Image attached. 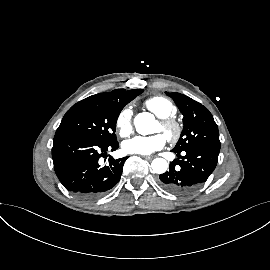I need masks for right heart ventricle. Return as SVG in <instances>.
I'll list each match as a JSON object with an SVG mask.
<instances>
[{
  "label": "right heart ventricle",
  "instance_id": "right-heart-ventricle-1",
  "mask_svg": "<svg viewBox=\"0 0 270 270\" xmlns=\"http://www.w3.org/2000/svg\"><path fill=\"white\" fill-rule=\"evenodd\" d=\"M144 106L158 118L174 117L177 113V108L172 101L162 96L146 99Z\"/></svg>",
  "mask_w": 270,
  "mask_h": 270
}]
</instances>
